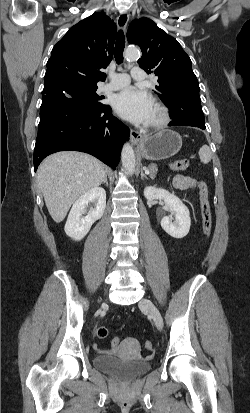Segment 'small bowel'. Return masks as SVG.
<instances>
[{"mask_svg": "<svg viewBox=\"0 0 250 413\" xmlns=\"http://www.w3.org/2000/svg\"><path fill=\"white\" fill-rule=\"evenodd\" d=\"M172 185L178 190H190L196 187V180L186 175H176L172 181Z\"/></svg>", "mask_w": 250, "mask_h": 413, "instance_id": "small-bowel-1", "label": "small bowel"}]
</instances>
